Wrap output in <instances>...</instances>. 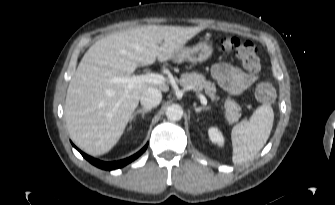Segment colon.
Masks as SVG:
<instances>
[{
  "label": "colon",
  "mask_w": 335,
  "mask_h": 205,
  "mask_svg": "<svg viewBox=\"0 0 335 205\" xmlns=\"http://www.w3.org/2000/svg\"><path fill=\"white\" fill-rule=\"evenodd\" d=\"M221 49L224 52H233L240 60L244 68L255 72L260 67V58L257 47L248 41H241L238 38H226L221 42ZM255 97L263 103L272 102L275 98V88L269 81L259 83L254 90Z\"/></svg>",
  "instance_id": "colon-1"
}]
</instances>
